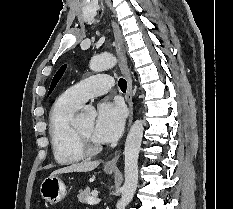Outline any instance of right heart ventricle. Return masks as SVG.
<instances>
[{
    "mask_svg": "<svg viewBox=\"0 0 233 209\" xmlns=\"http://www.w3.org/2000/svg\"><path fill=\"white\" fill-rule=\"evenodd\" d=\"M80 108L67 93L53 104L49 116V137L54 159L62 165L73 164L85 158L78 148L74 133V118Z\"/></svg>",
    "mask_w": 233,
    "mask_h": 209,
    "instance_id": "right-heart-ventricle-1",
    "label": "right heart ventricle"
}]
</instances>
